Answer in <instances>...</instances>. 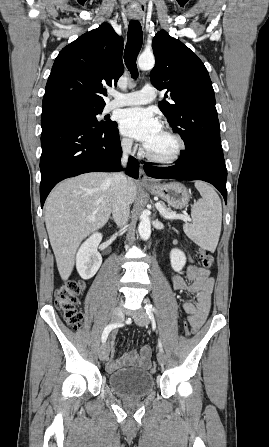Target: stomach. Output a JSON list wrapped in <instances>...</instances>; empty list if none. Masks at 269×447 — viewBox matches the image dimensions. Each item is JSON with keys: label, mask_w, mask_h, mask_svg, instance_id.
<instances>
[{"label": "stomach", "mask_w": 269, "mask_h": 447, "mask_svg": "<svg viewBox=\"0 0 269 447\" xmlns=\"http://www.w3.org/2000/svg\"><path fill=\"white\" fill-rule=\"evenodd\" d=\"M151 194L162 198L168 202L173 208H185L187 206L190 196L187 188L178 184V182H171V184H152L147 188Z\"/></svg>", "instance_id": "0dacf381"}]
</instances>
